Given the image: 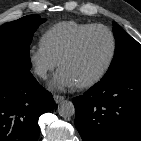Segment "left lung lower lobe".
Here are the masks:
<instances>
[{
    "label": "left lung lower lobe",
    "instance_id": "obj_1",
    "mask_svg": "<svg viewBox=\"0 0 141 141\" xmlns=\"http://www.w3.org/2000/svg\"><path fill=\"white\" fill-rule=\"evenodd\" d=\"M72 101L83 141L141 139V70L101 80Z\"/></svg>",
    "mask_w": 141,
    "mask_h": 141
}]
</instances>
